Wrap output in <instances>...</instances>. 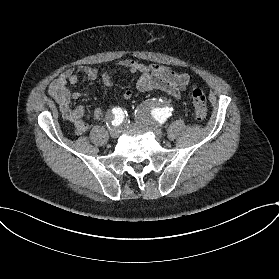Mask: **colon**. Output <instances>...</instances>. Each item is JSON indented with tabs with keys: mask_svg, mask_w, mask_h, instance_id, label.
<instances>
[{
	"mask_svg": "<svg viewBox=\"0 0 279 279\" xmlns=\"http://www.w3.org/2000/svg\"><path fill=\"white\" fill-rule=\"evenodd\" d=\"M191 98L196 118L198 120H204L207 116V106L204 92L199 87H194L192 89Z\"/></svg>",
	"mask_w": 279,
	"mask_h": 279,
	"instance_id": "1",
	"label": "colon"
}]
</instances>
